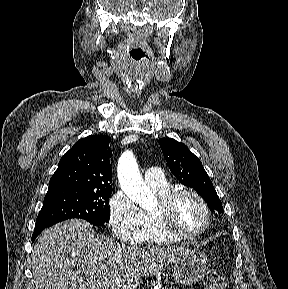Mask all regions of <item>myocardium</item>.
Instances as JSON below:
<instances>
[{"label":"myocardium","mask_w":288,"mask_h":289,"mask_svg":"<svg viewBox=\"0 0 288 289\" xmlns=\"http://www.w3.org/2000/svg\"><path fill=\"white\" fill-rule=\"evenodd\" d=\"M183 196H191L195 198L204 212V223L200 229L184 233L175 227L173 219V208L178 199ZM158 224L163 232L176 240H191L203 235L210 227L211 213L209 206L205 199L196 191L192 189H173L164 195L160 196L159 204L154 210Z\"/></svg>","instance_id":"1"}]
</instances>
